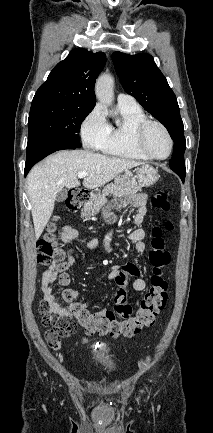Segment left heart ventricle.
I'll list each match as a JSON object with an SVG mask.
<instances>
[{"mask_svg":"<svg viewBox=\"0 0 213 433\" xmlns=\"http://www.w3.org/2000/svg\"><path fill=\"white\" fill-rule=\"evenodd\" d=\"M146 145L152 153L160 157L166 156L170 148L167 136L156 126L149 128L147 131Z\"/></svg>","mask_w":213,"mask_h":433,"instance_id":"1","label":"left heart ventricle"}]
</instances>
